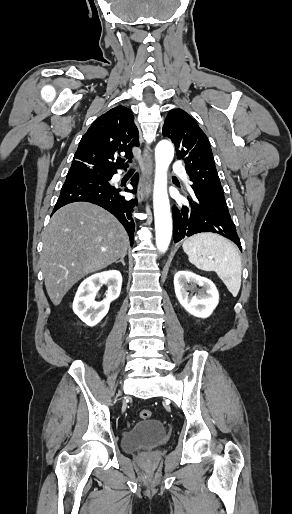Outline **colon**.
Instances as JSON below:
<instances>
[{
  "label": "colon",
  "instance_id": "5ec220e1",
  "mask_svg": "<svg viewBox=\"0 0 292 514\" xmlns=\"http://www.w3.org/2000/svg\"><path fill=\"white\" fill-rule=\"evenodd\" d=\"M139 417L142 419V420H149L151 417H152V413L150 412V410L148 409H141L139 411Z\"/></svg>",
  "mask_w": 292,
  "mask_h": 514
}]
</instances>
